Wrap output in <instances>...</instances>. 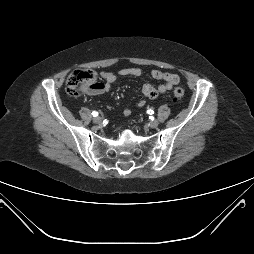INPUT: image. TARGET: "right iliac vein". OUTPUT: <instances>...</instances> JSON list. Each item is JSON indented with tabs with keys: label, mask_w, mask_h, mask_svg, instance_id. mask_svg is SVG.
Returning a JSON list of instances; mask_svg holds the SVG:
<instances>
[{
	"label": "right iliac vein",
	"mask_w": 254,
	"mask_h": 254,
	"mask_svg": "<svg viewBox=\"0 0 254 254\" xmlns=\"http://www.w3.org/2000/svg\"><path fill=\"white\" fill-rule=\"evenodd\" d=\"M93 122L96 124H101L102 118L100 116H96L95 118H93Z\"/></svg>",
	"instance_id": "1"
}]
</instances>
